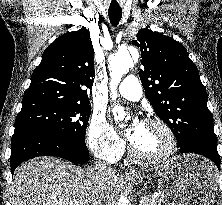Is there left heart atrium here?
I'll use <instances>...</instances> for the list:
<instances>
[{
  "label": "left heart atrium",
  "instance_id": "left-heart-atrium-1",
  "mask_svg": "<svg viewBox=\"0 0 222 205\" xmlns=\"http://www.w3.org/2000/svg\"><path fill=\"white\" fill-rule=\"evenodd\" d=\"M140 125H141V122L138 119H135L131 123L130 127L128 128L126 135H127L128 139L131 142L133 141V139H134V137H135V135L137 133V130L139 129Z\"/></svg>",
  "mask_w": 222,
  "mask_h": 205
}]
</instances>
